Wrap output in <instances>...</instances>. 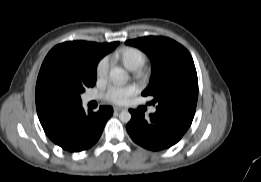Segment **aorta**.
<instances>
[{"label": "aorta", "mask_w": 261, "mask_h": 182, "mask_svg": "<svg viewBox=\"0 0 261 182\" xmlns=\"http://www.w3.org/2000/svg\"><path fill=\"white\" fill-rule=\"evenodd\" d=\"M110 80L116 85L125 84L128 79L129 75L127 71L122 68H114L111 70L109 74ZM119 119L123 123H128L131 120V114L128 110H123L119 114Z\"/></svg>", "instance_id": "aorta-1"}]
</instances>
